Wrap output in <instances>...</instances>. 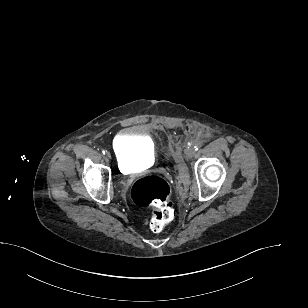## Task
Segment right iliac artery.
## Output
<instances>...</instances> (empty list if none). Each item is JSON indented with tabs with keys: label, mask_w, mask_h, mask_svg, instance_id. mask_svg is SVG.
Listing matches in <instances>:
<instances>
[{
	"label": "right iliac artery",
	"mask_w": 308,
	"mask_h": 308,
	"mask_svg": "<svg viewBox=\"0 0 308 308\" xmlns=\"http://www.w3.org/2000/svg\"><path fill=\"white\" fill-rule=\"evenodd\" d=\"M107 151L103 150L102 153L105 154Z\"/></svg>",
	"instance_id": "right-iliac-artery-1"
}]
</instances>
